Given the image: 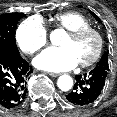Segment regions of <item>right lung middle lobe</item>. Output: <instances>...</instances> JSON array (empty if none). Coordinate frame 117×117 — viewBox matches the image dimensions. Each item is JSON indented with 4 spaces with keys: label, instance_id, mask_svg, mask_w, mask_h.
<instances>
[{
    "label": "right lung middle lobe",
    "instance_id": "right-lung-middle-lobe-1",
    "mask_svg": "<svg viewBox=\"0 0 117 117\" xmlns=\"http://www.w3.org/2000/svg\"><path fill=\"white\" fill-rule=\"evenodd\" d=\"M23 13H6L0 15V51H18L15 42V27L23 18Z\"/></svg>",
    "mask_w": 117,
    "mask_h": 117
}]
</instances>
